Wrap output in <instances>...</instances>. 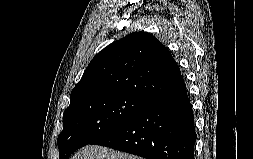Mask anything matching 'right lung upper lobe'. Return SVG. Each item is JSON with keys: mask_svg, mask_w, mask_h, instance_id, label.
Wrapping results in <instances>:
<instances>
[{"mask_svg": "<svg viewBox=\"0 0 253 159\" xmlns=\"http://www.w3.org/2000/svg\"><path fill=\"white\" fill-rule=\"evenodd\" d=\"M179 66L153 35L136 32L117 40L89 63L70 102L92 96L133 94L150 100L184 86Z\"/></svg>", "mask_w": 253, "mask_h": 159, "instance_id": "1", "label": "right lung upper lobe"}]
</instances>
